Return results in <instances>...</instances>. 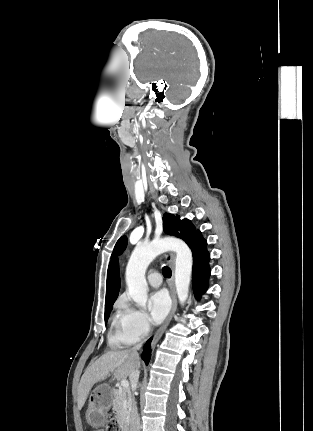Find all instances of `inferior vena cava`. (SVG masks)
<instances>
[{"instance_id":"obj_1","label":"inferior vena cava","mask_w":313,"mask_h":431,"mask_svg":"<svg viewBox=\"0 0 313 431\" xmlns=\"http://www.w3.org/2000/svg\"><path fill=\"white\" fill-rule=\"evenodd\" d=\"M142 344H138L134 346L131 351L134 355H138V350L141 348ZM132 390L137 388L138 379H139V370L138 368L134 369L129 376ZM130 431H140V419L137 411L136 402L134 399L130 401Z\"/></svg>"}]
</instances>
